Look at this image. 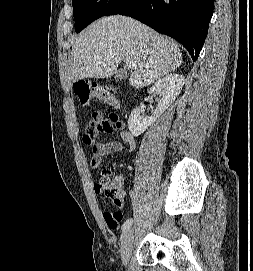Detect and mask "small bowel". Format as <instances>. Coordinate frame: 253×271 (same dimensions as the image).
I'll list each match as a JSON object with an SVG mask.
<instances>
[{
    "mask_svg": "<svg viewBox=\"0 0 253 271\" xmlns=\"http://www.w3.org/2000/svg\"><path fill=\"white\" fill-rule=\"evenodd\" d=\"M120 131L121 140L127 144L128 150L133 151L136 146L134 136L126 129V125L122 120L103 118L100 113H93L88 119L85 133L82 137L83 143L91 148L92 156L90 159V169L92 172H96L101 163L102 158L105 155H111L122 150L123 145L119 141H110L107 143L97 142L96 139L102 133H111L113 130ZM115 180L121 182V178ZM95 191L96 186L94 185Z\"/></svg>",
    "mask_w": 253,
    "mask_h": 271,
    "instance_id": "c3829d8e",
    "label": "small bowel"
}]
</instances>
